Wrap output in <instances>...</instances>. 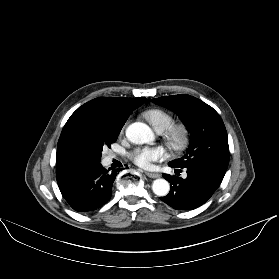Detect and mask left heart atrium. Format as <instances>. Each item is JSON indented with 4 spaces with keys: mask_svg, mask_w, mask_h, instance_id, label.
I'll return each instance as SVG.
<instances>
[{
    "mask_svg": "<svg viewBox=\"0 0 279 279\" xmlns=\"http://www.w3.org/2000/svg\"><path fill=\"white\" fill-rule=\"evenodd\" d=\"M166 157V149L162 146L138 147L130 154L132 161L145 169L150 168L153 162L162 161Z\"/></svg>",
    "mask_w": 279,
    "mask_h": 279,
    "instance_id": "1",
    "label": "left heart atrium"
}]
</instances>
